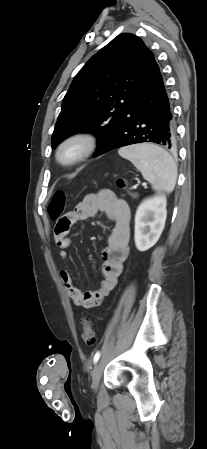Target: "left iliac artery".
Instances as JSON below:
<instances>
[{
    "label": "left iliac artery",
    "instance_id": "44dca946",
    "mask_svg": "<svg viewBox=\"0 0 207 449\" xmlns=\"http://www.w3.org/2000/svg\"><path fill=\"white\" fill-rule=\"evenodd\" d=\"M99 358H100V352L97 351V352L95 353L94 357H93V362H94V363H97L98 360H99Z\"/></svg>",
    "mask_w": 207,
    "mask_h": 449
}]
</instances>
